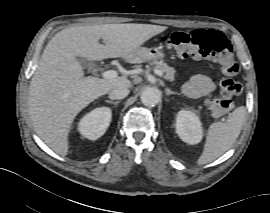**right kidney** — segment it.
I'll use <instances>...</instances> for the list:
<instances>
[{
  "mask_svg": "<svg viewBox=\"0 0 270 213\" xmlns=\"http://www.w3.org/2000/svg\"><path fill=\"white\" fill-rule=\"evenodd\" d=\"M111 117L112 111L110 108H96L80 120L78 130L83 137L96 140L106 132Z\"/></svg>",
  "mask_w": 270,
  "mask_h": 213,
  "instance_id": "right-kidney-1",
  "label": "right kidney"
}]
</instances>
